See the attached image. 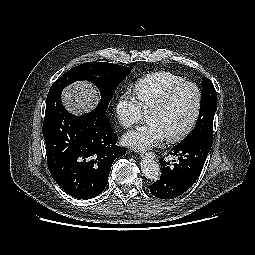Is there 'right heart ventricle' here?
Wrapping results in <instances>:
<instances>
[{"label":"right heart ventricle","mask_w":255,"mask_h":255,"mask_svg":"<svg viewBox=\"0 0 255 255\" xmlns=\"http://www.w3.org/2000/svg\"><path fill=\"white\" fill-rule=\"evenodd\" d=\"M183 81L182 77L170 72L151 73L136 81L134 96L147 113L169 88Z\"/></svg>","instance_id":"1"}]
</instances>
